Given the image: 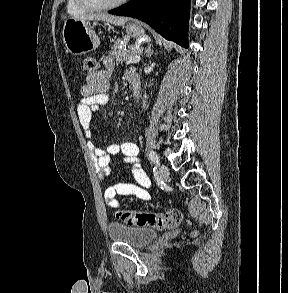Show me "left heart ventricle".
Wrapping results in <instances>:
<instances>
[{
    "mask_svg": "<svg viewBox=\"0 0 288 293\" xmlns=\"http://www.w3.org/2000/svg\"><path fill=\"white\" fill-rule=\"evenodd\" d=\"M93 1L100 2V3H111L117 0H93Z\"/></svg>",
    "mask_w": 288,
    "mask_h": 293,
    "instance_id": "b2bd125f",
    "label": "left heart ventricle"
}]
</instances>
